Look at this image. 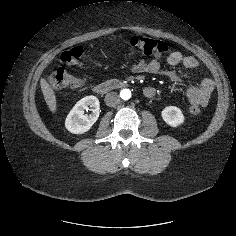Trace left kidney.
<instances>
[{
    "label": "left kidney",
    "instance_id": "1",
    "mask_svg": "<svg viewBox=\"0 0 236 236\" xmlns=\"http://www.w3.org/2000/svg\"><path fill=\"white\" fill-rule=\"evenodd\" d=\"M163 120L171 127H178L184 123V115L182 111L176 106H167L162 112Z\"/></svg>",
    "mask_w": 236,
    "mask_h": 236
}]
</instances>
